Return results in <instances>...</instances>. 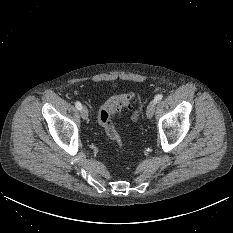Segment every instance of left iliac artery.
I'll return each mask as SVG.
<instances>
[{
	"mask_svg": "<svg viewBox=\"0 0 233 233\" xmlns=\"http://www.w3.org/2000/svg\"><path fill=\"white\" fill-rule=\"evenodd\" d=\"M162 98H163V95H162V94H158V95L155 96L154 100H155V102L157 103V102H159L160 100H162Z\"/></svg>",
	"mask_w": 233,
	"mask_h": 233,
	"instance_id": "obj_1",
	"label": "left iliac artery"
}]
</instances>
